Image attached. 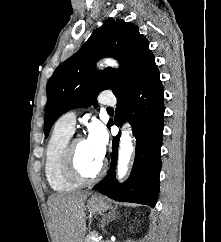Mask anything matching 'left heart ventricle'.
<instances>
[{
	"label": "left heart ventricle",
	"mask_w": 221,
	"mask_h": 242,
	"mask_svg": "<svg viewBox=\"0 0 221 242\" xmlns=\"http://www.w3.org/2000/svg\"><path fill=\"white\" fill-rule=\"evenodd\" d=\"M75 147L77 164L79 169L87 175L94 173L97 170L101 160L93 155V153L88 148L85 140H77Z\"/></svg>",
	"instance_id": "b2bd125f"
}]
</instances>
